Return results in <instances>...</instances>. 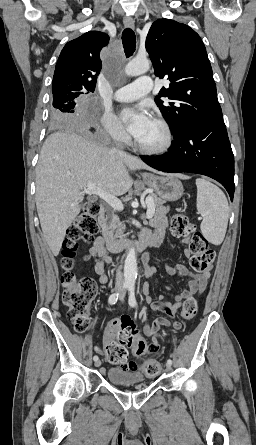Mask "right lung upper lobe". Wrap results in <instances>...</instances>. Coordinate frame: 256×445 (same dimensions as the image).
I'll use <instances>...</instances> for the list:
<instances>
[{"label":"right lung upper lobe","mask_w":256,"mask_h":445,"mask_svg":"<svg viewBox=\"0 0 256 445\" xmlns=\"http://www.w3.org/2000/svg\"><path fill=\"white\" fill-rule=\"evenodd\" d=\"M109 42V36L89 31L69 41L62 49L53 76V94L94 92L97 76L102 67L100 51Z\"/></svg>","instance_id":"right-lung-upper-lobe-1"}]
</instances>
